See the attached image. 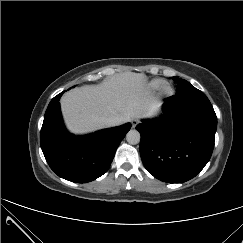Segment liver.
<instances>
[{"mask_svg": "<svg viewBox=\"0 0 243 243\" xmlns=\"http://www.w3.org/2000/svg\"><path fill=\"white\" fill-rule=\"evenodd\" d=\"M142 73L125 72L66 92L61 109L68 129L75 134L107 127L106 119L116 116L126 123L133 118H151L159 101L148 90Z\"/></svg>", "mask_w": 243, "mask_h": 243, "instance_id": "6515ba94", "label": "liver"}]
</instances>
